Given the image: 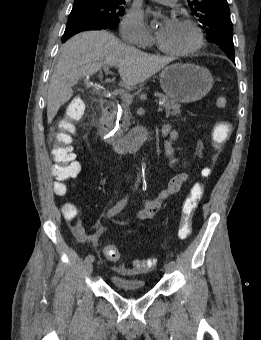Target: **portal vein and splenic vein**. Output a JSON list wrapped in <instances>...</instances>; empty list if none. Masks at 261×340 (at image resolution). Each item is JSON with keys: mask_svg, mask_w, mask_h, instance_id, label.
Returning <instances> with one entry per match:
<instances>
[{"mask_svg": "<svg viewBox=\"0 0 261 340\" xmlns=\"http://www.w3.org/2000/svg\"><path fill=\"white\" fill-rule=\"evenodd\" d=\"M104 71L105 72H108L109 71V66H104L103 67ZM121 99L123 100V102H125L126 104H131L133 102V96L130 95V94H127V93H124L121 95ZM158 112H162L163 111V108H162V105H160L157 109Z\"/></svg>", "mask_w": 261, "mask_h": 340, "instance_id": "1", "label": "portal vein and splenic vein"}]
</instances>
